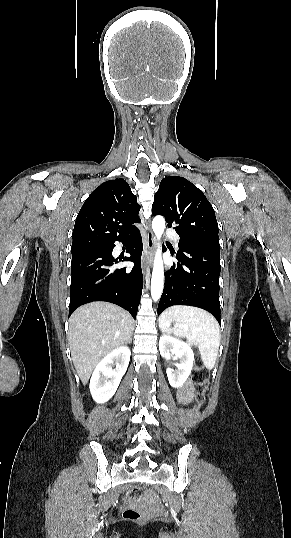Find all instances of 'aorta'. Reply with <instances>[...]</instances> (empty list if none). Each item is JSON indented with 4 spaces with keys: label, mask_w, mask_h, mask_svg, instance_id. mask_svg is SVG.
<instances>
[{
    "label": "aorta",
    "mask_w": 291,
    "mask_h": 538,
    "mask_svg": "<svg viewBox=\"0 0 291 538\" xmlns=\"http://www.w3.org/2000/svg\"><path fill=\"white\" fill-rule=\"evenodd\" d=\"M152 229L156 238L159 240L165 229V220L162 216L154 217L152 221ZM161 253H162V248L159 247L157 249L155 259H154V266H153L152 279H151V296L154 301H157L160 299L162 291H163V286H164V266H163Z\"/></svg>",
    "instance_id": "762f6f07"
}]
</instances>
